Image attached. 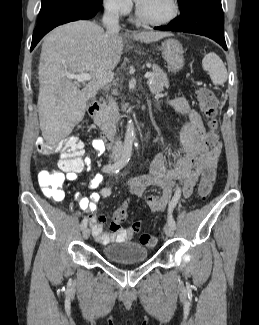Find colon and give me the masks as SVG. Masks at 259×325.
<instances>
[{
    "mask_svg": "<svg viewBox=\"0 0 259 325\" xmlns=\"http://www.w3.org/2000/svg\"><path fill=\"white\" fill-rule=\"evenodd\" d=\"M195 97L201 110L208 119V126L210 129L208 141L210 144L214 145L218 142L217 128L219 124V101L214 92L205 86H197L195 88ZM35 148L40 154H52L55 152L62 153V164L59 165L60 169L50 171L44 170L38 175V183L44 195L53 200L60 201L63 198V171L77 165V162L82 157L83 153L82 142L76 136H69L54 144H47L43 139L39 138L36 141ZM215 178V168L206 169L202 173L198 193L203 200L211 193ZM128 207V202H125L120 206V208H118L113 217L114 223L121 224L126 220L128 216ZM141 227L142 224L140 221H134L131 225V229L134 232H140ZM140 243L146 247L152 248L156 245L157 239L154 235L144 232L140 235Z\"/></svg>",
    "mask_w": 259,
    "mask_h": 325,
    "instance_id": "obj_1",
    "label": "colon"
}]
</instances>
